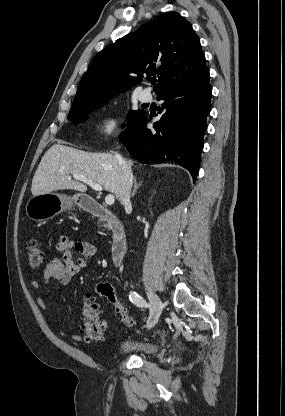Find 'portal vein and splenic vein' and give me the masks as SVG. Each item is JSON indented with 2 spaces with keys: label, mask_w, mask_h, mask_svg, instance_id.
<instances>
[{
  "label": "portal vein and splenic vein",
  "mask_w": 285,
  "mask_h": 416,
  "mask_svg": "<svg viewBox=\"0 0 285 416\" xmlns=\"http://www.w3.org/2000/svg\"><path fill=\"white\" fill-rule=\"evenodd\" d=\"M71 178H74V180H78V182H83V184H88L92 190H96V192H102L103 188L100 186V184H96V182H92V180H88L86 176H80V174H72V176H68V180H71ZM106 204L108 206H112L114 204V196L112 194H108L105 198Z\"/></svg>",
  "instance_id": "portal-vein-and-splenic-vein-1"
}]
</instances>
